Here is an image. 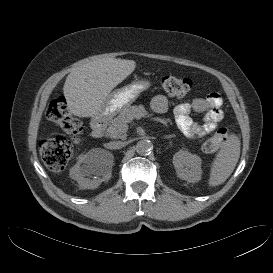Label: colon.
Here are the masks:
<instances>
[{
  "label": "colon",
  "instance_id": "1",
  "mask_svg": "<svg viewBox=\"0 0 273 273\" xmlns=\"http://www.w3.org/2000/svg\"><path fill=\"white\" fill-rule=\"evenodd\" d=\"M161 87L170 97H182L191 90L192 81L189 78L169 75L162 78ZM47 116L74 139H77L82 133L81 122L68 112L67 102L63 96L50 102ZM227 137V130L221 128L204 141L202 149L205 152L216 151L224 145ZM38 148L45 165L54 172H60L64 170L72 155L73 142L66 137L49 138L41 140Z\"/></svg>",
  "mask_w": 273,
  "mask_h": 273
}]
</instances>
